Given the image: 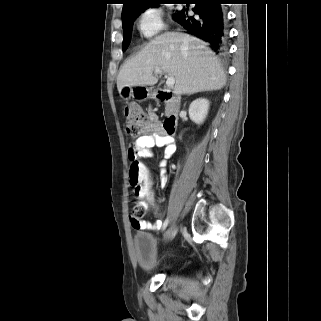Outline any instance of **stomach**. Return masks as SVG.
Returning a JSON list of instances; mask_svg holds the SVG:
<instances>
[{
    "mask_svg": "<svg viewBox=\"0 0 321 321\" xmlns=\"http://www.w3.org/2000/svg\"><path fill=\"white\" fill-rule=\"evenodd\" d=\"M120 96L127 100L129 98H135L139 101L146 100L153 96L152 90L145 86H133V87H124L121 92Z\"/></svg>",
    "mask_w": 321,
    "mask_h": 321,
    "instance_id": "obj_1",
    "label": "stomach"
}]
</instances>
